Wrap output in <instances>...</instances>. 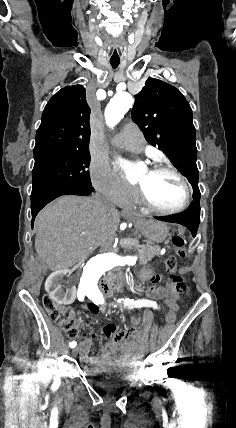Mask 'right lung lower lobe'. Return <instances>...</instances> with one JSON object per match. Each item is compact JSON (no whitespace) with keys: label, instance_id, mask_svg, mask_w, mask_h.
<instances>
[{"label":"right lung lower lobe","instance_id":"obj_1","mask_svg":"<svg viewBox=\"0 0 236 428\" xmlns=\"http://www.w3.org/2000/svg\"><path fill=\"white\" fill-rule=\"evenodd\" d=\"M94 191L93 187H64V188H58L49 190L40 194H37L35 196L31 197V212H32V222L31 226L33 227L34 219L38 212L50 201L54 200L55 198L61 196V195H80L85 196L90 194Z\"/></svg>","mask_w":236,"mask_h":428}]
</instances>
